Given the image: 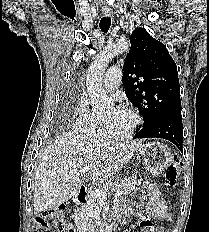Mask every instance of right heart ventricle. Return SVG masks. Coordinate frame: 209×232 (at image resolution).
<instances>
[{"instance_id": "right-heart-ventricle-1", "label": "right heart ventricle", "mask_w": 209, "mask_h": 232, "mask_svg": "<svg viewBox=\"0 0 209 232\" xmlns=\"http://www.w3.org/2000/svg\"><path fill=\"white\" fill-rule=\"evenodd\" d=\"M81 132L91 139L105 138L102 130V118L97 114L91 113Z\"/></svg>"}]
</instances>
